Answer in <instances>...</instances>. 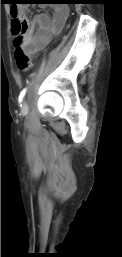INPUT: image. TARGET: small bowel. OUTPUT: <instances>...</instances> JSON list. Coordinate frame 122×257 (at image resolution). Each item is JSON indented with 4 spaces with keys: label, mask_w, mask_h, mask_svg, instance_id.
<instances>
[{
    "label": "small bowel",
    "mask_w": 122,
    "mask_h": 257,
    "mask_svg": "<svg viewBox=\"0 0 122 257\" xmlns=\"http://www.w3.org/2000/svg\"><path fill=\"white\" fill-rule=\"evenodd\" d=\"M68 13V8L57 6L54 8L52 18L41 13L28 21L27 30L20 42V47L28 57L36 55L49 43L54 35L62 30Z\"/></svg>",
    "instance_id": "small-bowel-1"
}]
</instances>
